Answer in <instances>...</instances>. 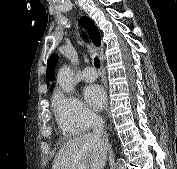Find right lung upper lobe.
Wrapping results in <instances>:
<instances>
[{
  "instance_id": "right-lung-upper-lobe-1",
  "label": "right lung upper lobe",
  "mask_w": 177,
  "mask_h": 169,
  "mask_svg": "<svg viewBox=\"0 0 177 169\" xmlns=\"http://www.w3.org/2000/svg\"><path fill=\"white\" fill-rule=\"evenodd\" d=\"M84 21L89 23V29H88L89 35L91 39L93 40L94 44L96 46H99L101 43V39H100V33H99L98 28L88 17H84ZM57 60H58L57 55H52L48 60V65H47L48 68L46 71V80L48 81L47 85H49V82H52L55 79L54 72H55V66H56Z\"/></svg>"
}]
</instances>
